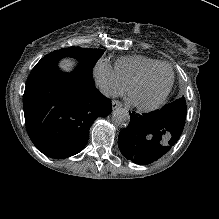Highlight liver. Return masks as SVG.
I'll use <instances>...</instances> for the list:
<instances>
[{"instance_id":"obj_1","label":"liver","mask_w":219,"mask_h":219,"mask_svg":"<svg viewBox=\"0 0 219 219\" xmlns=\"http://www.w3.org/2000/svg\"><path fill=\"white\" fill-rule=\"evenodd\" d=\"M78 63L72 59L64 58L59 63V68L64 72H71L73 71Z\"/></svg>"}]
</instances>
